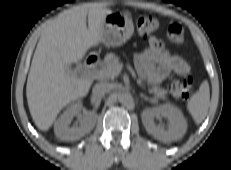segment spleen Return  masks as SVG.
<instances>
[{
    "mask_svg": "<svg viewBox=\"0 0 231 170\" xmlns=\"http://www.w3.org/2000/svg\"><path fill=\"white\" fill-rule=\"evenodd\" d=\"M210 103V89L208 81H204L196 94L187 103V110L193 117L196 124L201 123L207 113Z\"/></svg>",
    "mask_w": 231,
    "mask_h": 170,
    "instance_id": "1",
    "label": "spleen"
}]
</instances>
